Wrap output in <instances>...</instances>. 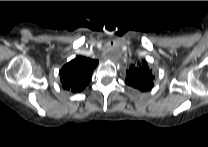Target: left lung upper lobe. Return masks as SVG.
<instances>
[{
    "mask_svg": "<svg viewBox=\"0 0 208 147\" xmlns=\"http://www.w3.org/2000/svg\"><path fill=\"white\" fill-rule=\"evenodd\" d=\"M126 72V84L141 91H148L153 87L154 77L152 75V70L148 67L145 60H143L142 63L138 62L137 65L133 67L131 66Z\"/></svg>",
    "mask_w": 208,
    "mask_h": 147,
    "instance_id": "1",
    "label": "left lung upper lobe"
}]
</instances>
